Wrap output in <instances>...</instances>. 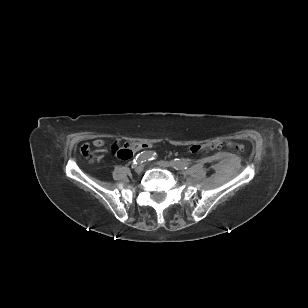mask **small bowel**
<instances>
[{
    "label": "small bowel",
    "instance_id": "c3829d8e",
    "mask_svg": "<svg viewBox=\"0 0 308 308\" xmlns=\"http://www.w3.org/2000/svg\"><path fill=\"white\" fill-rule=\"evenodd\" d=\"M136 143H138V142H136ZM104 144H105L104 140H102V139H100V138L95 139V140L93 141V145H94L95 147H97V148L103 147ZM117 148H118L117 145H114V146H113V150H116Z\"/></svg>",
    "mask_w": 308,
    "mask_h": 308
}]
</instances>
